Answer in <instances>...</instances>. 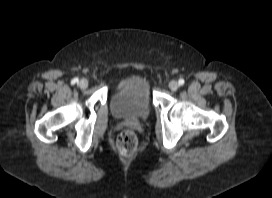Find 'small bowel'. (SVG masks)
Here are the masks:
<instances>
[{
	"instance_id": "small-bowel-1",
	"label": "small bowel",
	"mask_w": 272,
	"mask_h": 198,
	"mask_svg": "<svg viewBox=\"0 0 272 198\" xmlns=\"http://www.w3.org/2000/svg\"><path fill=\"white\" fill-rule=\"evenodd\" d=\"M130 81H131V83H138V80H137V79H131ZM126 83H127V81H122V82H120V83L118 84V86H123V85H125Z\"/></svg>"
}]
</instances>
